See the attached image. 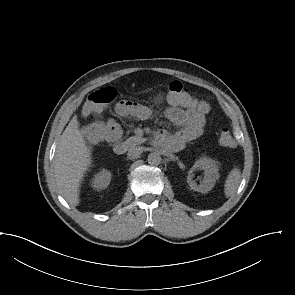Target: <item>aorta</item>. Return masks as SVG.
Instances as JSON below:
<instances>
[{"label":"aorta","mask_w":295,"mask_h":295,"mask_svg":"<svg viewBox=\"0 0 295 295\" xmlns=\"http://www.w3.org/2000/svg\"><path fill=\"white\" fill-rule=\"evenodd\" d=\"M148 163L150 165H159L162 161V158L158 152H152L148 155Z\"/></svg>","instance_id":"obj_1"}]
</instances>
